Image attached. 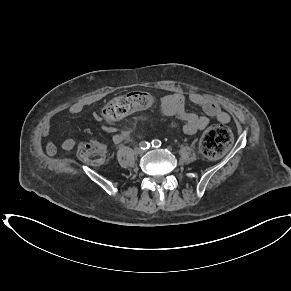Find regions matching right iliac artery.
<instances>
[{
    "instance_id": "82829eb1",
    "label": "right iliac artery",
    "mask_w": 291,
    "mask_h": 291,
    "mask_svg": "<svg viewBox=\"0 0 291 291\" xmlns=\"http://www.w3.org/2000/svg\"><path fill=\"white\" fill-rule=\"evenodd\" d=\"M139 146L141 149L146 150V149H149L150 143H148L147 141H141L139 143Z\"/></svg>"
}]
</instances>
